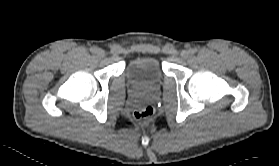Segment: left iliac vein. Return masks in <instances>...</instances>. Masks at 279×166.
Listing matches in <instances>:
<instances>
[{"label":"left iliac vein","instance_id":"left-iliac-vein-1","mask_svg":"<svg viewBox=\"0 0 279 166\" xmlns=\"http://www.w3.org/2000/svg\"><path fill=\"white\" fill-rule=\"evenodd\" d=\"M181 57L183 58V59H187L188 57H189V55H190V52L189 51H187V50H183V51H181Z\"/></svg>","mask_w":279,"mask_h":166}]
</instances>
